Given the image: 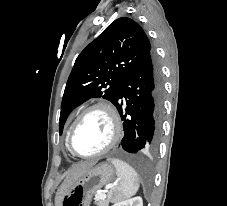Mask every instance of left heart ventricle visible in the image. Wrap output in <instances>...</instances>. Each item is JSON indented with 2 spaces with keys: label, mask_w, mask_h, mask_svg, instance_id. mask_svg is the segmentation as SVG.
Instances as JSON below:
<instances>
[{
  "label": "left heart ventricle",
  "mask_w": 227,
  "mask_h": 206,
  "mask_svg": "<svg viewBox=\"0 0 227 206\" xmlns=\"http://www.w3.org/2000/svg\"><path fill=\"white\" fill-rule=\"evenodd\" d=\"M112 126L102 110H94L84 116L72 139L73 149L82 155L95 153L110 141Z\"/></svg>",
  "instance_id": "b2bd125f"
}]
</instances>
